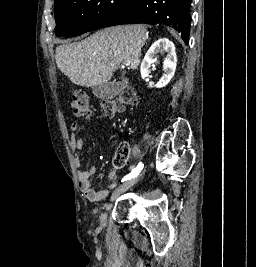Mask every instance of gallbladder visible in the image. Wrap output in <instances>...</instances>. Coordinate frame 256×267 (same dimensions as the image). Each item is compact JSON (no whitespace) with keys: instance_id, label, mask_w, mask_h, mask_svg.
Segmentation results:
<instances>
[{"instance_id":"1","label":"gallbladder","mask_w":256,"mask_h":267,"mask_svg":"<svg viewBox=\"0 0 256 267\" xmlns=\"http://www.w3.org/2000/svg\"><path fill=\"white\" fill-rule=\"evenodd\" d=\"M120 90V82H115V84L107 82V84H100V86H92V94L97 96V98H101V100H106V102L113 100L119 94Z\"/></svg>"}]
</instances>
